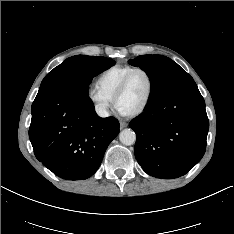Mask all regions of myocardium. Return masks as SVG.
Here are the masks:
<instances>
[{"label": "myocardium", "instance_id": "obj_1", "mask_svg": "<svg viewBox=\"0 0 234 234\" xmlns=\"http://www.w3.org/2000/svg\"><path fill=\"white\" fill-rule=\"evenodd\" d=\"M136 72H143L146 74V76L148 77V81H149V88H148L147 96L139 108H137L136 110H134L132 112L122 113L123 115L129 116V117L138 116L142 112H144L145 109L148 107V105L152 99L153 92H154V79H153L152 74L147 69H145L143 67H135L125 75V77L123 78V80L121 81L120 85L118 86V88L116 89V91L114 93L113 103H114L115 108L118 110V107H117L118 100L123 95V93L126 91L127 86L129 84V81H130V78Z\"/></svg>", "mask_w": 234, "mask_h": 234}]
</instances>
